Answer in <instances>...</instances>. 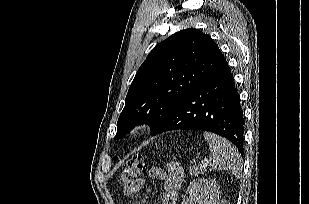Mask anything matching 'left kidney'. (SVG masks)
<instances>
[{
    "instance_id": "5707ae66",
    "label": "left kidney",
    "mask_w": 309,
    "mask_h": 204,
    "mask_svg": "<svg viewBox=\"0 0 309 204\" xmlns=\"http://www.w3.org/2000/svg\"><path fill=\"white\" fill-rule=\"evenodd\" d=\"M220 187L213 179L198 178L188 186L182 204H220Z\"/></svg>"
}]
</instances>
